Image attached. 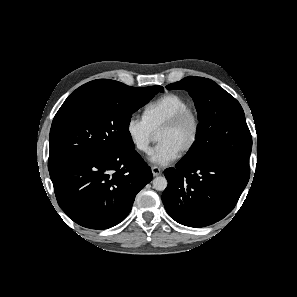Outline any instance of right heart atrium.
I'll return each mask as SVG.
<instances>
[{"label":"right heart atrium","instance_id":"1","mask_svg":"<svg viewBox=\"0 0 297 297\" xmlns=\"http://www.w3.org/2000/svg\"><path fill=\"white\" fill-rule=\"evenodd\" d=\"M126 132L136 151L140 153L150 151V145L155 133L144 117L136 114L131 115L126 123Z\"/></svg>","mask_w":297,"mask_h":297}]
</instances>
